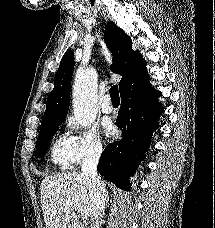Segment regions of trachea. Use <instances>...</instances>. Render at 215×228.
<instances>
[{
	"label": "trachea",
	"mask_w": 215,
	"mask_h": 228,
	"mask_svg": "<svg viewBox=\"0 0 215 228\" xmlns=\"http://www.w3.org/2000/svg\"><path fill=\"white\" fill-rule=\"evenodd\" d=\"M109 93H110L111 101L113 104L120 103L119 89H118L117 85H113L110 88Z\"/></svg>",
	"instance_id": "trachea-1"
}]
</instances>
